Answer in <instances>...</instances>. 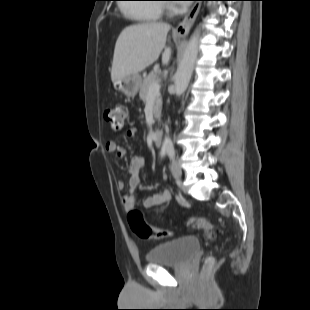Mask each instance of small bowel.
<instances>
[{"instance_id": "obj_1", "label": "small bowel", "mask_w": 310, "mask_h": 310, "mask_svg": "<svg viewBox=\"0 0 310 310\" xmlns=\"http://www.w3.org/2000/svg\"><path fill=\"white\" fill-rule=\"evenodd\" d=\"M138 128L137 127H130L126 129L125 135L128 138H133L137 135ZM106 151L112 154H115L117 158H123L125 155V149L118 145L114 141L107 142ZM145 165L144 157L140 155H135L131 157L129 163V179L127 184L120 180L117 183V189L119 191H123L127 185L128 190L124 192L121 196V201L123 207L126 211H131L136 208V190L139 185V173ZM171 200V193L168 190L162 191L160 193H156L150 196H147L143 201V206L145 209H150L156 206H161L169 203Z\"/></svg>"}]
</instances>
